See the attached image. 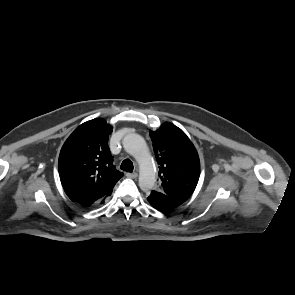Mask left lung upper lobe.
Masks as SVG:
<instances>
[{
  "mask_svg": "<svg viewBox=\"0 0 295 295\" xmlns=\"http://www.w3.org/2000/svg\"><path fill=\"white\" fill-rule=\"evenodd\" d=\"M159 166V187L166 196L185 202L194 192L200 176L198 153L186 134L165 122L150 132Z\"/></svg>",
  "mask_w": 295,
  "mask_h": 295,
  "instance_id": "5c2ea615",
  "label": "left lung upper lobe"
}]
</instances>
